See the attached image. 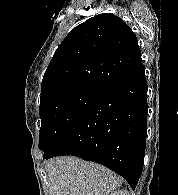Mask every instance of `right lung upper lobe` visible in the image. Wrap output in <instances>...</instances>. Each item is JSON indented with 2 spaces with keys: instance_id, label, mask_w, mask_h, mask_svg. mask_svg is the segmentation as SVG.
Here are the masks:
<instances>
[{
  "instance_id": "1",
  "label": "right lung upper lobe",
  "mask_w": 178,
  "mask_h": 195,
  "mask_svg": "<svg viewBox=\"0 0 178 195\" xmlns=\"http://www.w3.org/2000/svg\"><path fill=\"white\" fill-rule=\"evenodd\" d=\"M144 68L131 28L111 13L75 27L55 51L44 73L41 100L80 89L101 90Z\"/></svg>"
}]
</instances>
